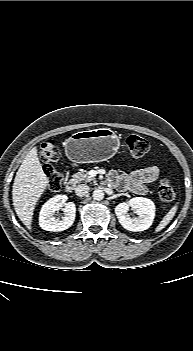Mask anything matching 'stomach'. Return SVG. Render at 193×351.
Listing matches in <instances>:
<instances>
[{
    "label": "stomach",
    "instance_id": "stomach-1",
    "mask_svg": "<svg viewBox=\"0 0 193 351\" xmlns=\"http://www.w3.org/2000/svg\"><path fill=\"white\" fill-rule=\"evenodd\" d=\"M120 141L114 131L100 128L81 131L66 140L67 157L76 163H95L105 161L115 155Z\"/></svg>",
    "mask_w": 193,
    "mask_h": 351
}]
</instances>
